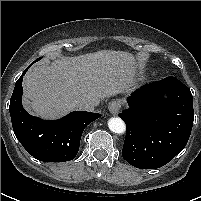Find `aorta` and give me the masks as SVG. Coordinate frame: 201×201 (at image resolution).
Instances as JSON below:
<instances>
[{
    "mask_svg": "<svg viewBox=\"0 0 201 201\" xmlns=\"http://www.w3.org/2000/svg\"><path fill=\"white\" fill-rule=\"evenodd\" d=\"M109 129L117 134H122L126 130L124 121L119 117H112L108 120Z\"/></svg>",
    "mask_w": 201,
    "mask_h": 201,
    "instance_id": "obj_1",
    "label": "aorta"
}]
</instances>
